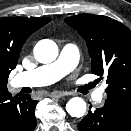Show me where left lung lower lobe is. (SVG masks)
Segmentation results:
<instances>
[{
	"mask_svg": "<svg viewBox=\"0 0 131 131\" xmlns=\"http://www.w3.org/2000/svg\"><path fill=\"white\" fill-rule=\"evenodd\" d=\"M77 130L131 131V110L106 100L103 107L89 111L78 123Z\"/></svg>",
	"mask_w": 131,
	"mask_h": 131,
	"instance_id": "obj_1",
	"label": "left lung lower lobe"
}]
</instances>
